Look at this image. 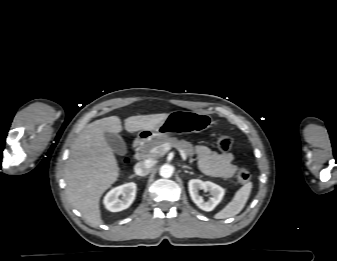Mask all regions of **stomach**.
<instances>
[{
	"mask_svg": "<svg viewBox=\"0 0 337 261\" xmlns=\"http://www.w3.org/2000/svg\"><path fill=\"white\" fill-rule=\"evenodd\" d=\"M212 124V118L208 114L176 110L169 113L166 119L152 129L142 130L140 137L157 138L173 134L200 133L210 128Z\"/></svg>",
	"mask_w": 337,
	"mask_h": 261,
	"instance_id": "1",
	"label": "stomach"
}]
</instances>
